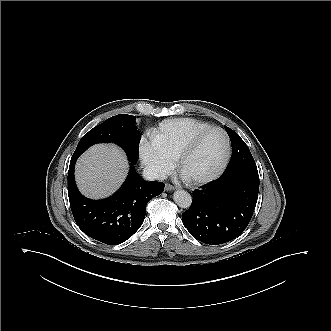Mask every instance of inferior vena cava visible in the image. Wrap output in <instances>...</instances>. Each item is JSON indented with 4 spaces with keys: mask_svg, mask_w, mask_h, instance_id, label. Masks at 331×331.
Masks as SVG:
<instances>
[{
    "mask_svg": "<svg viewBox=\"0 0 331 331\" xmlns=\"http://www.w3.org/2000/svg\"><path fill=\"white\" fill-rule=\"evenodd\" d=\"M143 178L147 181H162L167 178L166 173L158 166L146 165L143 169Z\"/></svg>",
    "mask_w": 331,
    "mask_h": 331,
    "instance_id": "inferior-vena-cava-1",
    "label": "inferior vena cava"
}]
</instances>
